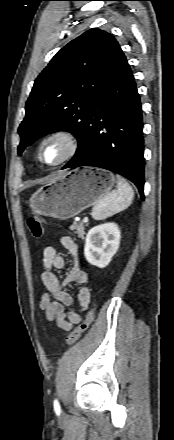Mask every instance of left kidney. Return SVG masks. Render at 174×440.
<instances>
[{"label":"left kidney","instance_id":"1","mask_svg":"<svg viewBox=\"0 0 174 440\" xmlns=\"http://www.w3.org/2000/svg\"><path fill=\"white\" fill-rule=\"evenodd\" d=\"M121 232L115 223H105L89 230L84 248L86 260L99 268L106 267L119 248Z\"/></svg>","mask_w":174,"mask_h":440}]
</instances>
